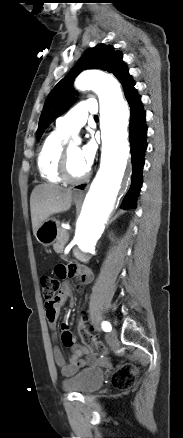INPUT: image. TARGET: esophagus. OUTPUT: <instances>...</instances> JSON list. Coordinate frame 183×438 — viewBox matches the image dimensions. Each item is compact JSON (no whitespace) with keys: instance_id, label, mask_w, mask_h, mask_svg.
<instances>
[{"instance_id":"34e87169","label":"esophagus","mask_w":183,"mask_h":438,"mask_svg":"<svg viewBox=\"0 0 183 438\" xmlns=\"http://www.w3.org/2000/svg\"><path fill=\"white\" fill-rule=\"evenodd\" d=\"M76 194L77 195H83V192L82 191H78Z\"/></svg>"}]
</instances>
